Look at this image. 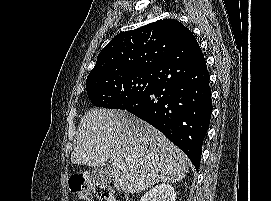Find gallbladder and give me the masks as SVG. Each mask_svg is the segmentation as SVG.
<instances>
[{
    "instance_id": "1",
    "label": "gallbladder",
    "mask_w": 271,
    "mask_h": 201,
    "mask_svg": "<svg viewBox=\"0 0 271 201\" xmlns=\"http://www.w3.org/2000/svg\"><path fill=\"white\" fill-rule=\"evenodd\" d=\"M93 180L99 183L109 184L112 181V165L105 163L91 170Z\"/></svg>"
}]
</instances>
